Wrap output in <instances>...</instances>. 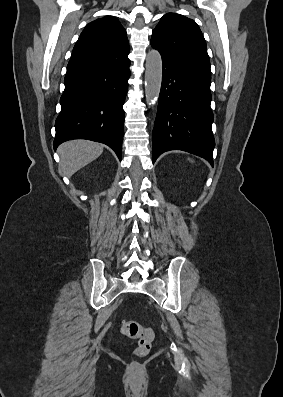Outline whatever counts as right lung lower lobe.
Segmentation results:
<instances>
[{
    "mask_svg": "<svg viewBox=\"0 0 283 397\" xmlns=\"http://www.w3.org/2000/svg\"><path fill=\"white\" fill-rule=\"evenodd\" d=\"M130 60L64 79L54 149L72 139L101 142L121 160L124 110Z\"/></svg>",
    "mask_w": 283,
    "mask_h": 397,
    "instance_id": "obj_1",
    "label": "right lung lower lobe"
}]
</instances>
